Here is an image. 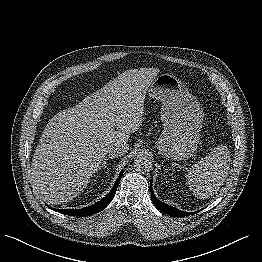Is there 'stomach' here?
Masks as SVG:
<instances>
[{
	"instance_id": "0dacf381",
	"label": "stomach",
	"mask_w": 262,
	"mask_h": 262,
	"mask_svg": "<svg viewBox=\"0 0 262 262\" xmlns=\"http://www.w3.org/2000/svg\"><path fill=\"white\" fill-rule=\"evenodd\" d=\"M149 94L162 102L164 131L156 144L159 154L172 160L191 158L198 148L204 120L199 101L177 77L169 73L154 79Z\"/></svg>"
}]
</instances>
